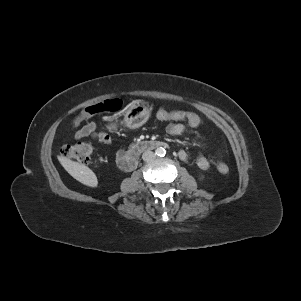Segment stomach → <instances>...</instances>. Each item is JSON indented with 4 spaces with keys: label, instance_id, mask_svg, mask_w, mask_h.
<instances>
[{
    "label": "stomach",
    "instance_id": "stomach-1",
    "mask_svg": "<svg viewBox=\"0 0 301 301\" xmlns=\"http://www.w3.org/2000/svg\"><path fill=\"white\" fill-rule=\"evenodd\" d=\"M152 108L143 103L132 104L124 114L123 123L130 129L144 125L150 118Z\"/></svg>",
    "mask_w": 301,
    "mask_h": 301
}]
</instances>
